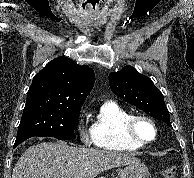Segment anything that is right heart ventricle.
<instances>
[{
	"label": "right heart ventricle",
	"mask_w": 194,
	"mask_h": 178,
	"mask_svg": "<svg viewBox=\"0 0 194 178\" xmlns=\"http://www.w3.org/2000/svg\"><path fill=\"white\" fill-rule=\"evenodd\" d=\"M130 116L131 113L119 104L104 102L90 128L94 146L113 151H135L142 148L124 135L123 124Z\"/></svg>",
	"instance_id": "right-heart-ventricle-1"
}]
</instances>
